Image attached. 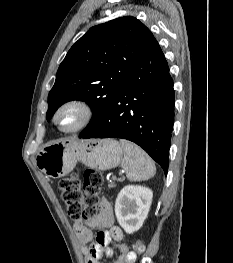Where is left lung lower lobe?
Returning <instances> with one entry per match:
<instances>
[{"mask_svg": "<svg viewBox=\"0 0 233 263\" xmlns=\"http://www.w3.org/2000/svg\"><path fill=\"white\" fill-rule=\"evenodd\" d=\"M173 80L156 41L131 69L99 122L82 138H122L142 147L168 172L174 124Z\"/></svg>", "mask_w": 233, "mask_h": 263, "instance_id": "0a47b994", "label": "left lung lower lobe"}]
</instances>
